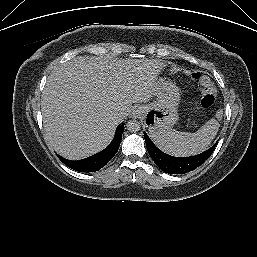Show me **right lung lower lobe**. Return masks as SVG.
<instances>
[{"instance_id": "obj_1", "label": "right lung lower lobe", "mask_w": 257, "mask_h": 257, "mask_svg": "<svg viewBox=\"0 0 257 257\" xmlns=\"http://www.w3.org/2000/svg\"><path fill=\"white\" fill-rule=\"evenodd\" d=\"M124 131V123L119 125L116 130V134L112 142L107 148L101 152L94 154L90 157L81 160H68L58 155V158L69 168L79 171V172H94L100 170L104 167L117 153L121 139L122 133Z\"/></svg>"}]
</instances>
